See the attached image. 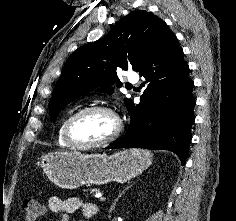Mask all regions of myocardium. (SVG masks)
I'll list each match as a JSON object with an SVG mask.
<instances>
[{"label": "myocardium", "instance_id": "f54148a6", "mask_svg": "<svg viewBox=\"0 0 236 221\" xmlns=\"http://www.w3.org/2000/svg\"><path fill=\"white\" fill-rule=\"evenodd\" d=\"M93 112H104L113 118L115 122V130L113 134L109 138L100 142H96V143L80 144V143L75 142L71 136V129H72L73 124L80 117L89 113H93ZM121 131H122V122L119 115L117 114L115 110H113L111 107L106 106V105H91L83 109H80L79 111L75 112L67 119L64 125V129H63V136H64L65 142L71 148L79 149V150H91V149L106 147L112 144L119 138Z\"/></svg>", "mask_w": 236, "mask_h": 221}]
</instances>
